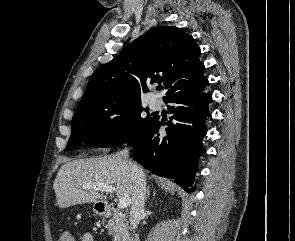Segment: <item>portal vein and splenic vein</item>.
Here are the masks:
<instances>
[{"mask_svg":"<svg viewBox=\"0 0 295 241\" xmlns=\"http://www.w3.org/2000/svg\"><path fill=\"white\" fill-rule=\"evenodd\" d=\"M84 189L88 188H94L96 190L106 192V193H113L115 191V188L110 185H104V184H87L83 186ZM131 203V199L129 196H123L119 199L118 208L124 209L129 206Z\"/></svg>","mask_w":295,"mask_h":241,"instance_id":"obj_1","label":"portal vein and splenic vein"}]
</instances>
